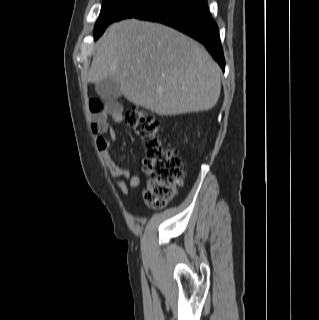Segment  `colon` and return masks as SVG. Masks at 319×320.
<instances>
[{
	"label": "colon",
	"instance_id": "colon-1",
	"mask_svg": "<svg viewBox=\"0 0 319 320\" xmlns=\"http://www.w3.org/2000/svg\"><path fill=\"white\" fill-rule=\"evenodd\" d=\"M126 123L147 145L144 160L148 184L144 199L148 206L160 208L176 195L185 177L181 157L175 150L165 149L159 141L160 123L148 111L135 107L125 113Z\"/></svg>",
	"mask_w": 319,
	"mask_h": 320
}]
</instances>
